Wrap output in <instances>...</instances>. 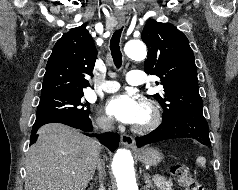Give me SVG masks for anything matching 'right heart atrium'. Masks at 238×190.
<instances>
[{
	"instance_id": "1",
	"label": "right heart atrium",
	"mask_w": 238,
	"mask_h": 190,
	"mask_svg": "<svg viewBox=\"0 0 238 190\" xmlns=\"http://www.w3.org/2000/svg\"><path fill=\"white\" fill-rule=\"evenodd\" d=\"M96 121L102 129H110L112 127L111 119L103 114H98Z\"/></svg>"
}]
</instances>
